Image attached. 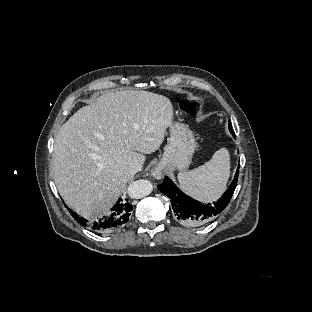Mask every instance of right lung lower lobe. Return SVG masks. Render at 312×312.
Wrapping results in <instances>:
<instances>
[{
    "mask_svg": "<svg viewBox=\"0 0 312 312\" xmlns=\"http://www.w3.org/2000/svg\"><path fill=\"white\" fill-rule=\"evenodd\" d=\"M132 209L133 207L127 199L123 200L119 198L117 203L112 207L110 216L99 219L98 221L93 222L87 220L71 210L69 212L81 225L87 226L94 232L101 234L111 233L124 225L129 220Z\"/></svg>",
    "mask_w": 312,
    "mask_h": 312,
    "instance_id": "1",
    "label": "right lung lower lobe"
}]
</instances>
